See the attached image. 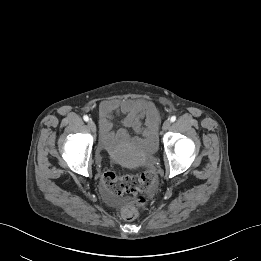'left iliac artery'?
<instances>
[{
	"label": "left iliac artery",
	"mask_w": 261,
	"mask_h": 261,
	"mask_svg": "<svg viewBox=\"0 0 261 261\" xmlns=\"http://www.w3.org/2000/svg\"><path fill=\"white\" fill-rule=\"evenodd\" d=\"M170 121H171V122H175V121H176V116H172V117L170 118Z\"/></svg>",
	"instance_id": "44dca946"
}]
</instances>
